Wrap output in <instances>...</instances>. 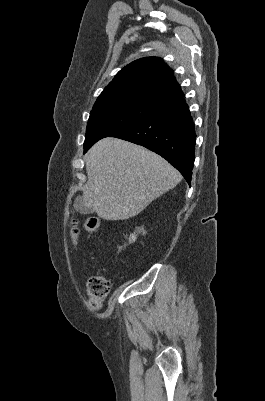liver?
<instances>
[{"mask_svg":"<svg viewBox=\"0 0 265 401\" xmlns=\"http://www.w3.org/2000/svg\"><path fill=\"white\" fill-rule=\"evenodd\" d=\"M85 166L84 205L106 221L135 217L182 178L159 154L120 138L98 140Z\"/></svg>","mask_w":265,"mask_h":401,"instance_id":"1","label":"liver"}]
</instances>
